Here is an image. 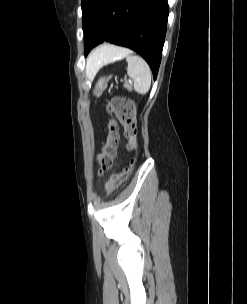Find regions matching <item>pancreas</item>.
Masks as SVG:
<instances>
[{"mask_svg":"<svg viewBox=\"0 0 247 304\" xmlns=\"http://www.w3.org/2000/svg\"><path fill=\"white\" fill-rule=\"evenodd\" d=\"M125 87L127 88V89H130V85L126 82V84H125Z\"/></svg>","mask_w":247,"mask_h":304,"instance_id":"1","label":"pancreas"}]
</instances>
